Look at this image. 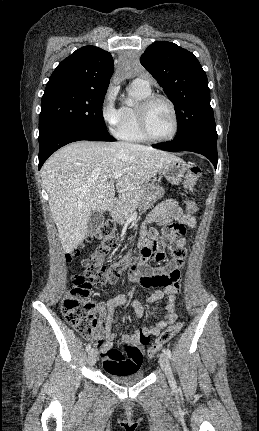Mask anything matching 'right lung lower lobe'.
Returning a JSON list of instances; mask_svg holds the SVG:
<instances>
[{"label": "right lung lower lobe", "mask_w": 259, "mask_h": 431, "mask_svg": "<svg viewBox=\"0 0 259 431\" xmlns=\"http://www.w3.org/2000/svg\"><path fill=\"white\" fill-rule=\"evenodd\" d=\"M80 140L115 141L109 133L99 132L75 124H61L47 129L39 135V165L40 169L46 159L62 146Z\"/></svg>", "instance_id": "obj_1"}]
</instances>
